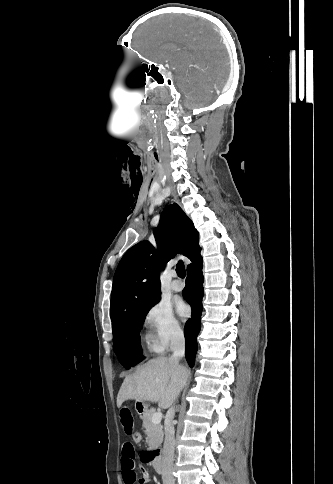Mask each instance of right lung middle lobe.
Instances as JSON below:
<instances>
[{"mask_svg":"<svg viewBox=\"0 0 333 484\" xmlns=\"http://www.w3.org/2000/svg\"><path fill=\"white\" fill-rule=\"evenodd\" d=\"M158 301L159 299L128 316L113 335V349L126 369L135 366L144 359L139 333L145 316Z\"/></svg>","mask_w":333,"mask_h":484,"instance_id":"dd1d6c3e","label":"right lung middle lobe"}]
</instances>
